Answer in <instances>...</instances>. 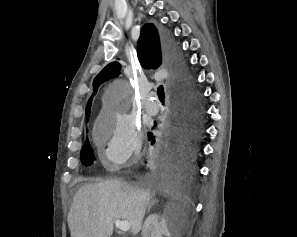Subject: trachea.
Segmentation results:
<instances>
[{"label": "trachea", "instance_id": "obj_1", "mask_svg": "<svg viewBox=\"0 0 297 237\" xmlns=\"http://www.w3.org/2000/svg\"><path fill=\"white\" fill-rule=\"evenodd\" d=\"M157 94H158V97L161 101L164 100L165 98V94H164V88L162 85H160L158 88H157Z\"/></svg>", "mask_w": 297, "mask_h": 237}]
</instances>
